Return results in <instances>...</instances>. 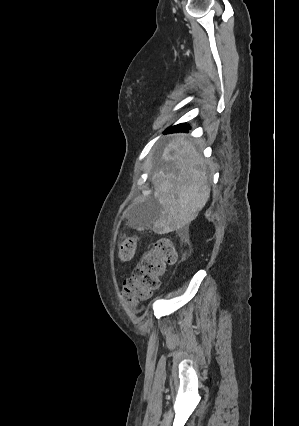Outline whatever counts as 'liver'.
<instances>
[{
    "mask_svg": "<svg viewBox=\"0 0 299 426\" xmlns=\"http://www.w3.org/2000/svg\"><path fill=\"white\" fill-rule=\"evenodd\" d=\"M198 143L179 134L163 149L167 173L160 170L159 175L151 178L156 188L154 198L161 205V215L153 223L155 232L165 234L185 227L196 219L209 200L206 160Z\"/></svg>",
    "mask_w": 299,
    "mask_h": 426,
    "instance_id": "6515ba94",
    "label": "liver"
}]
</instances>
